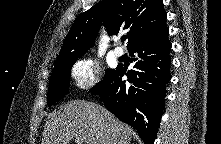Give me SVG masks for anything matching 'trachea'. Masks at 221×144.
<instances>
[{
    "mask_svg": "<svg viewBox=\"0 0 221 144\" xmlns=\"http://www.w3.org/2000/svg\"><path fill=\"white\" fill-rule=\"evenodd\" d=\"M125 40H126V36H123V37L121 38V41L124 42Z\"/></svg>",
    "mask_w": 221,
    "mask_h": 144,
    "instance_id": "trachea-1",
    "label": "trachea"
}]
</instances>
